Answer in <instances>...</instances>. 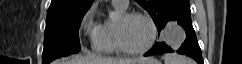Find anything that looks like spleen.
I'll return each instance as SVG.
<instances>
[{"mask_svg": "<svg viewBox=\"0 0 242 64\" xmlns=\"http://www.w3.org/2000/svg\"><path fill=\"white\" fill-rule=\"evenodd\" d=\"M162 59L165 64H191L185 57L176 54H165Z\"/></svg>", "mask_w": 242, "mask_h": 64, "instance_id": "obj_1", "label": "spleen"}]
</instances>
